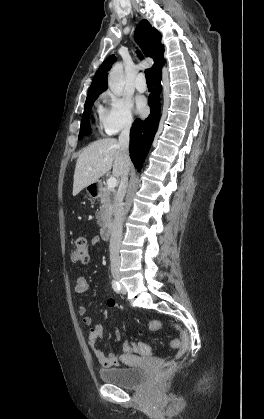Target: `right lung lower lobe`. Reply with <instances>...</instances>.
I'll return each mask as SVG.
<instances>
[{
  "instance_id": "obj_1",
  "label": "right lung lower lobe",
  "mask_w": 264,
  "mask_h": 419,
  "mask_svg": "<svg viewBox=\"0 0 264 419\" xmlns=\"http://www.w3.org/2000/svg\"><path fill=\"white\" fill-rule=\"evenodd\" d=\"M161 71L153 75L154 90L150 94L148 103L151 113L145 120L136 119L130 131V157L136 169L140 170L150 149L159 122V97L161 91Z\"/></svg>"
}]
</instances>
